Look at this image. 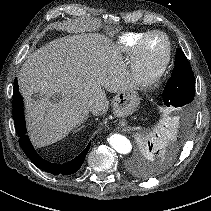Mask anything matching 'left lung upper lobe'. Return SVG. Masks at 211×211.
<instances>
[{
    "instance_id": "obj_1",
    "label": "left lung upper lobe",
    "mask_w": 211,
    "mask_h": 211,
    "mask_svg": "<svg viewBox=\"0 0 211 211\" xmlns=\"http://www.w3.org/2000/svg\"><path fill=\"white\" fill-rule=\"evenodd\" d=\"M194 95V73L184 52L178 48L175 56V67L164 88V104L180 110H189Z\"/></svg>"
}]
</instances>
